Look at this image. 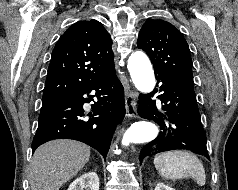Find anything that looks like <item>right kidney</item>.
<instances>
[{"label": "right kidney", "mask_w": 238, "mask_h": 190, "mask_svg": "<svg viewBox=\"0 0 238 190\" xmlns=\"http://www.w3.org/2000/svg\"><path fill=\"white\" fill-rule=\"evenodd\" d=\"M68 190H99V178L95 172H87L74 180Z\"/></svg>", "instance_id": "right-kidney-1"}]
</instances>
